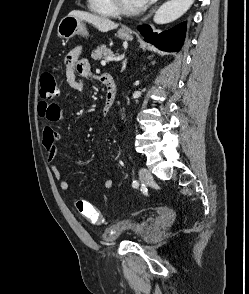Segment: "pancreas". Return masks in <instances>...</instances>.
<instances>
[{"label": "pancreas", "mask_w": 249, "mask_h": 294, "mask_svg": "<svg viewBox=\"0 0 249 294\" xmlns=\"http://www.w3.org/2000/svg\"><path fill=\"white\" fill-rule=\"evenodd\" d=\"M113 55L114 54L110 49L106 48V46L101 45L92 52L91 57L94 60H100L102 58L111 57Z\"/></svg>", "instance_id": "obj_1"}]
</instances>
